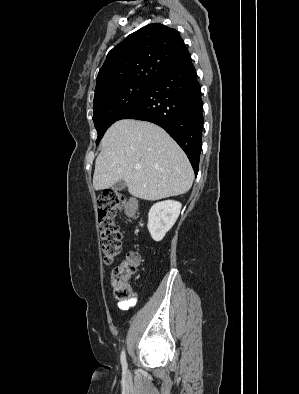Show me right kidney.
I'll return each instance as SVG.
<instances>
[{
	"label": "right kidney",
	"instance_id": "1",
	"mask_svg": "<svg viewBox=\"0 0 299 394\" xmlns=\"http://www.w3.org/2000/svg\"><path fill=\"white\" fill-rule=\"evenodd\" d=\"M182 204L174 200L155 203L148 213V230L152 239L161 241L176 222Z\"/></svg>",
	"mask_w": 299,
	"mask_h": 394
}]
</instances>
